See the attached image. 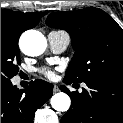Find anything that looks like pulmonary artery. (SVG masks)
I'll return each mask as SVG.
<instances>
[{"instance_id":"1","label":"pulmonary artery","mask_w":123,"mask_h":123,"mask_svg":"<svg viewBox=\"0 0 123 123\" xmlns=\"http://www.w3.org/2000/svg\"><path fill=\"white\" fill-rule=\"evenodd\" d=\"M48 42L50 50L55 54H59L68 48L70 44V36L65 31L54 30L48 34Z\"/></svg>"}]
</instances>
